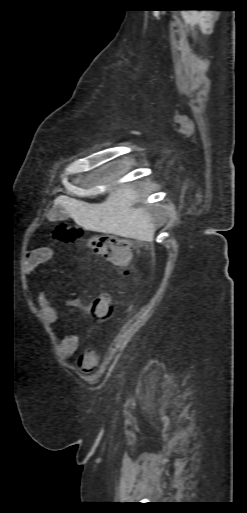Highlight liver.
<instances>
[{
  "instance_id": "liver-1",
  "label": "liver",
  "mask_w": 247,
  "mask_h": 513,
  "mask_svg": "<svg viewBox=\"0 0 247 513\" xmlns=\"http://www.w3.org/2000/svg\"><path fill=\"white\" fill-rule=\"evenodd\" d=\"M137 197V191L133 187L121 185L115 191H110L108 198L102 203L89 204L59 196L54 200L53 209L57 206L63 207L75 223L86 230L151 241L156 227L146 210L135 206ZM50 212L48 220L52 221Z\"/></svg>"
}]
</instances>
